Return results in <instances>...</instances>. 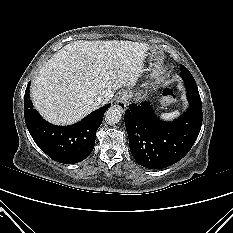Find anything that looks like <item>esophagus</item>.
<instances>
[{"label": "esophagus", "instance_id": "obj_1", "mask_svg": "<svg viewBox=\"0 0 233 233\" xmlns=\"http://www.w3.org/2000/svg\"><path fill=\"white\" fill-rule=\"evenodd\" d=\"M128 101H129V94L127 93V91H122L119 93L117 97L116 105L121 111H124L127 107Z\"/></svg>", "mask_w": 233, "mask_h": 233}]
</instances>
